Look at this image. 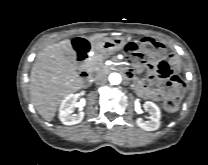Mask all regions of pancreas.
<instances>
[{
	"label": "pancreas",
	"mask_w": 208,
	"mask_h": 165,
	"mask_svg": "<svg viewBox=\"0 0 208 165\" xmlns=\"http://www.w3.org/2000/svg\"><path fill=\"white\" fill-rule=\"evenodd\" d=\"M104 59L105 56L103 54L94 55L90 61L91 71L97 74L106 72L108 68L103 63Z\"/></svg>",
	"instance_id": "1"
}]
</instances>
